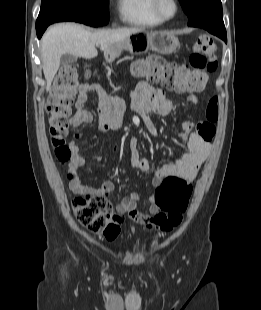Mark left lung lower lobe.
<instances>
[{
  "mask_svg": "<svg viewBox=\"0 0 261 310\" xmlns=\"http://www.w3.org/2000/svg\"><path fill=\"white\" fill-rule=\"evenodd\" d=\"M189 26L203 28L207 30L208 32L220 37L222 40H224L227 43L225 27L221 24H218L215 21L209 20V21L196 22Z\"/></svg>",
  "mask_w": 261,
  "mask_h": 310,
  "instance_id": "left-lung-lower-lobe-1",
  "label": "left lung lower lobe"
}]
</instances>
